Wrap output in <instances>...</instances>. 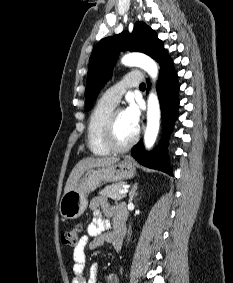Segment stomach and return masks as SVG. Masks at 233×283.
Returning a JSON list of instances; mask_svg holds the SVG:
<instances>
[{
    "mask_svg": "<svg viewBox=\"0 0 233 283\" xmlns=\"http://www.w3.org/2000/svg\"><path fill=\"white\" fill-rule=\"evenodd\" d=\"M135 174L136 169L129 160L87 169L76 186L62 196L59 204L61 216L68 220L78 218L88 205L87 195L96 190L102 182H120L133 178Z\"/></svg>",
    "mask_w": 233,
    "mask_h": 283,
    "instance_id": "obj_1",
    "label": "stomach"
}]
</instances>
